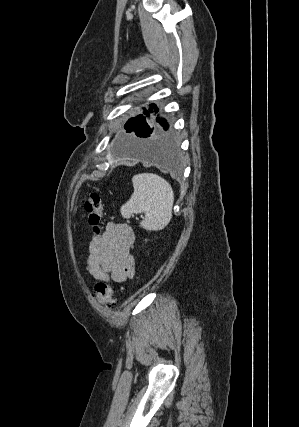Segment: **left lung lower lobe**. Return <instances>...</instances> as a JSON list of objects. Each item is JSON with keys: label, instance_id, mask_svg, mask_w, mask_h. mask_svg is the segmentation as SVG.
<instances>
[{"label": "left lung lower lobe", "instance_id": "1", "mask_svg": "<svg viewBox=\"0 0 299 427\" xmlns=\"http://www.w3.org/2000/svg\"><path fill=\"white\" fill-rule=\"evenodd\" d=\"M159 124L154 123L145 134L144 140L137 151L139 156L151 163L171 170H178L180 166L178 145L167 132L168 124L165 119L156 118Z\"/></svg>", "mask_w": 299, "mask_h": 427}]
</instances>
